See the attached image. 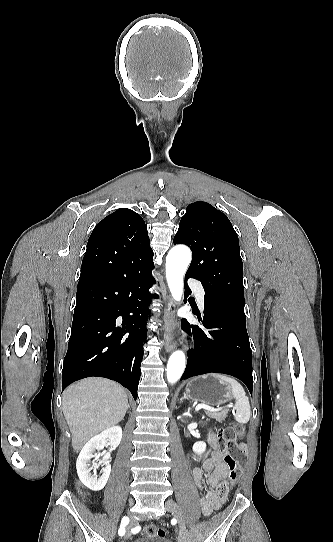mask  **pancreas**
Returning a JSON list of instances; mask_svg holds the SVG:
<instances>
[{"instance_id":"1","label":"pancreas","mask_w":333,"mask_h":542,"mask_svg":"<svg viewBox=\"0 0 333 542\" xmlns=\"http://www.w3.org/2000/svg\"><path fill=\"white\" fill-rule=\"evenodd\" d=\"M205 414H207L209 418H214L216 422H225L228 412H226V410H221V412H208V410H206Z\"/></svg>"}]
</instances>
